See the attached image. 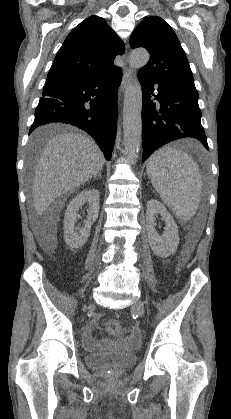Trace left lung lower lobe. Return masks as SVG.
Masks as SVG:
<instances>
[{
  "instance_id": "obj_1",
  "label": "left lung lower lobe",
  "mask_w": 231,
  "mask_h": 419,
  "mask_svg": "<svg viewBox=\"0 0 231 419\" xmlns=\"http://www.w3.org/2000/svg\"><path fill=\"white\" fill-rule=\"evenodd\" d=\"M142 86L143 161L162 145L180 138L198 139L208 149L205 131L201 125L198 92L138 74ZM157 84V94L153 85ZM159 101V106L151 97Z\"/></svg>"
}]
</instances>
